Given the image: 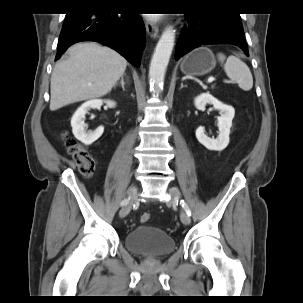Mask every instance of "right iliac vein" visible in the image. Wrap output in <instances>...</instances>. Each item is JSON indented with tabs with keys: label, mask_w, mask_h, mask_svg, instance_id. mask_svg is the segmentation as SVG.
Returning a JSON list of instances; mask_svg holds the SVG:
<instances>
[{
	"label": "right iliac vein",
	"mask_w": 303,
	"mask_h": 303,
	"mask_svg": "<svg viewBox=\"0 0 303 303\" xmlns=\"http://www.w3.org/2000/svg\"><path fill=\"white\" fill-rule=\"evenodd\" d=\"M127 195H128L129 201L126 205L123 206V208L119 212V216L121 218H124L129 214V212L131 210V207H132V204H133V202L136 198V195H137V187L136 186H131L128 190Z\"/></svg>",
	"instance_id": "63e3f726"
}]
</instances>
